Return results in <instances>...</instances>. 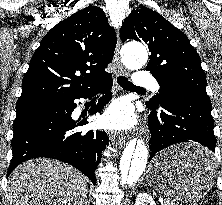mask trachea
Returning a JSON list of instances; mask_svg holds the SVG:
<instances>
[{"instance_id":"1","label":"trachea","mask_w":222,"mask_h":205,"mask_svg":"<svg viewBox=\"0 0 222 205\" xmlns=\"http://www.w3.org/2000/svg\"><path fill=\"white\" fill-rule=\"evenodd\" d=\"M117 82L121 87H123L124 89H127V90H145L143 88L134 86L128 79H126L123 76H118Z\"/></svg>"}]
</instances>
